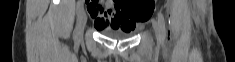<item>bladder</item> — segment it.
<instances>
[{"label":"bladder","instance_id":"1","mask_svg":"<svg viewBox=\"0 0 235 62\" xmlns=\"http://www.w3.org/2000/svg\"><path fill=\"white\" fill-rule=\"evenodd\" d=\"M106 36L115 39H127L133 35L131 30L107 29L103 32Z\"/></svg>","mask_w":235,"mask_h":62}]
</instances>
